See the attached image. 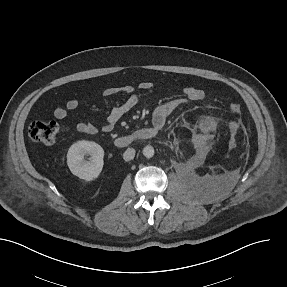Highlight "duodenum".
<instances>
[{"label":"duodenum","instance_id":"duodenum-1","mask_svg":"<svg viewBox=\"0 0 287 287\" xmlns=\"http://www.w3.org/2000/svg\"><path fill=\"white\" fill-rule=\"evenodd\" d=\"M158 129L155 127H143L137 129L132 134L121 136L114 140L115 146L119 148L127 147L131 143L139 140H149L156 136Z\"/></svg>","mask_w":287,"mask_h":287}]
</instances>
